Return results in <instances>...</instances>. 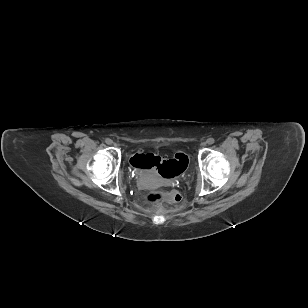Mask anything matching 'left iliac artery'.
<instances>
[{"label": "left iliac artery", "mask_w": 308, "mask_h": 308, "mask_svg": "<svg viewBox=\"0 0 308 308\" xmlns=\"http://www.w3.org/2000/svg\"><path fill=\"white\" fill-rule=\"evenodd\" d=\"M215 142V140L213 139V138H209L208 140H207V143L208 144H213Z\"/></svg>", "instance_id": "1"}]
</instances>
